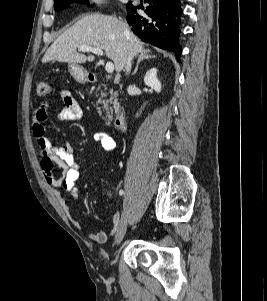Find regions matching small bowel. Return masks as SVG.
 I'll return each mask as SVG.
<instances>
[{
    "instance_id": "obj_1",
    "label": "small bowel",
    "mask_w": 267,
    "mask_h": 301,
    "mask_svg": "<svg viewBox=\"0 0 267 301\" xmlns=\"http://www.w3.org/2000/svg\"><path fill=\"white\" fill-rule=\"evenodd\" d=\"M60 96L63 102V108L58 114L60 120L74 121L82 117V109L68 90H61ZM48 105L43 103L37 106L32 114V132L40 150L39 166L41 173L52 190L54 195L61 201L63 209L69 213V206L63 200L60 190L63 189L73 200L79 198V188L77 185L80 172L78 164L74 157V147L71 143H52L45 135L44 122L47 119ZM94 140L102 146L106 152L112 151L116 147V141L112 134L98 132L94 134ZM57 166L62 174L60 177L54 175L53 169ZM106 188L101 189V195L104 197ZM119 223V214L114 213L113 225L109 231L88 232V237L99 244L107 243L110 236L115 233ZM73 224L81 227L78 220L73 219Z\"/></svg>"
}]
</instances>
